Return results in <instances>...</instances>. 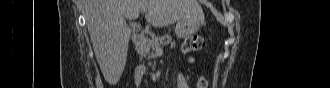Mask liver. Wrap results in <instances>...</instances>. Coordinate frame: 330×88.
Returning a JSON list of instances; mask_svg holds the SVG:
<instances>
[{"label": "liver", "mask_w": 330, "mask_h": 88, "mask_svg": "<svg viewBox=\"0 0 330 88\" xmlns=\"http://www.w3.org/2000/svg\"><path fill=\"white\" fill-rule=\"evenodd\" d=\"M146 9L145 19L164 27L182 19H201L197 0H84L87 28L105 80L116 84L127 59L131 28L126 19H136Z\"/></svg>", "instance_id": "liver-1"}]
</instances>
